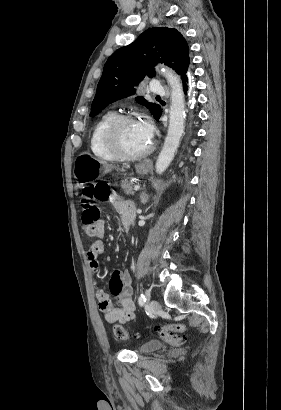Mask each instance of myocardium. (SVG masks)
Here are the masks:
<instances>
[{
    "instance_id": "1",
    "label": "myocardium",
    "mask_w": 281,
    "mask_h": 410,
    "mask_svg": "<svg viewBox=\"0 0 281 410\" xmlns=\"http://www.w3.org/2000/svg\"><path fill=\"white\" fill-rule=\"evenodd\" d=\"M129 121H135L134 118L130 115L126 114H121L117 115L107 126L105 132H104V143L107 147V149L113 153L118 159L122 160H135V159H140L148 154L151 153L153 150V144L150 143L149 146L136 153H130L127 152L119 143L118 137H117V132L120 127V125L124 122H129Z\"/></svg>"
}]
</instances>
